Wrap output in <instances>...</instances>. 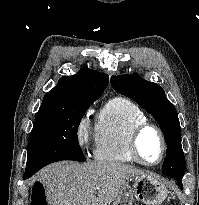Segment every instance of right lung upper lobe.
<instances>
[{
	"label": "right lung upper lobe",
	"mask_w": 199,
	"mask_h": 205,
	"mask_svg": "<svg viewBox=\"0 0 199 205\" xmlns=\"http://www.w3.org/2000/svg\"><path fill=\"white\" fill-rule=\"evenodd\" d=\"M108 85V75L81 69L72 76H63L55 88L45 94L39 111L86 99H98Z\"/></svg>",
	"instance_id": "right-lung-upper-lobe-1"
}]
</instances>
